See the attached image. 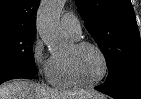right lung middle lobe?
<instances>
[{"label":"right lung middle lobe","mask_w":141,"mask_h":99,"mask_svg":"<svg viewBox=\"0 0 141 99\" xmlns=\"http://www.w3.org/2000/svg\"><path fill=\"white\" fill-rule=\"evenodd\" d=\"M35 35V30L0 29V72L37 71L32 52Z\"/></svg>","instance_id":"obj_1"}]
</instances>
